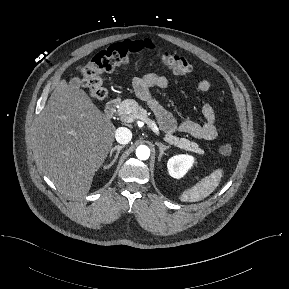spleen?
<instances>
[{
	"mask_svg": "<svg viewBox=\"0 0 289 289\" xmlns=\"http://www.w3.org/2000/svg\"><path fill=\"white\" fill-rule=\"evenodd\" d=\"M222 175V169L213 171L209 176L203 178L191 189L184 191L180 197L181 201L196 202L206 198L218 187Z\"/></svg>",
	"mask_w": 289,
	"mask_h": 289,
	"instance_id": "spleen-1",
	"label": "spleen"
}]
</instances>
